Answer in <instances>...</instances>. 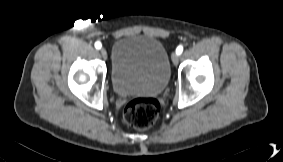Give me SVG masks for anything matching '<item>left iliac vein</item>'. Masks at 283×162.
<instances>
[{"label":"left iliac vein","instance_id":"1","mask_svg":"<svg viewBox=\"0 0 283 162\" xmlns=\"http://www.w3.org/2000/svg\"><path fill=\"white\" fill-rule=\"evenodd\" d=\"M171 59H172L173 64L177 65L179 61V55L177 53H172Z\"/></svg>","mask_w":283,"mask_h":162}]
</instances>
